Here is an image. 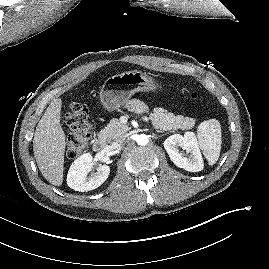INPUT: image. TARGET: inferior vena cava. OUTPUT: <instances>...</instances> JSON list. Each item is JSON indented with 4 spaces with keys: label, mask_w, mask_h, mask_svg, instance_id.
<instances>
[{
    "label": "inferior vena cava",
    "mask_w": 269,
    "mask_h": 269,
    "mask_svg": "<svg viewBox=\"0 0 269 269\" xmlns=\"http://www.w3.org/2000/svg\"><path fill=\"white\" fill-rule=\"evenodd\" d=\"M123 142V138L120 137L118 139H116L113 143H112V147L113 148H118Z\"/></svg>",
    "instance_id": "1"
}]
</instances>
